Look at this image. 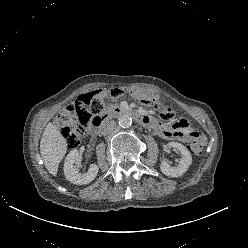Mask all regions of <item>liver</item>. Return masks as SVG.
<instances>
[{
  "label": "liver",
  "instance_id": "6515ba94",
  "mask_svg": "<svg viewBox=\"0 0 248 248\" xmlns=\"http://www.w3.org/2000/svg\"><path fill=\"white\" fill-rule=\"evenodd\" d=\"M67 150V141L55 125L48 123L40 141V153L48 172L56 176Z\"/></svg>",
  "mask_w": 248,
  "mask_h": 248
}]
</instances>
